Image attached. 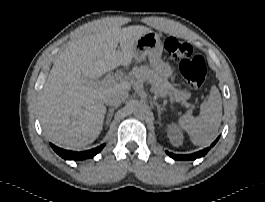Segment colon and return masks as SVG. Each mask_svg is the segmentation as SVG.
<instances>
[{"label":"colon","mask_w":265,"mask_h":202,"mask_svg":"<svg viewBox=\"0 0 265 202\" xmlns=\"http://www.w3.org/2000/svg\"><path fill=\"white\" fill-rule=\"evenodd\" d=\"M164 47L171 60L177 61L186 82L193 88L200 87L206 80L207 70L204 59L193 54L192 47L175 37H168Z\"/></svg>","instance_id":"1"}]
</instances>
